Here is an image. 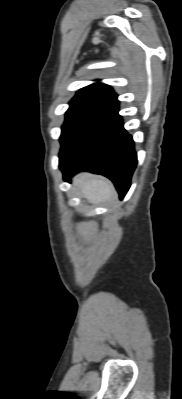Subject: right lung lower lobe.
Returning <instances> with one entry per match:
<instances>
[{
  "mask_svg": "<svg viewBox=\"0 0 182 399\" xmlns=\"http://www.w3.org/2000/svg\"><path fill=\"white\" fill-rule=\"evenodd\" d=\"M118 111L116 100L77 125L61 142L59 167L65 181L81 171L104 175L113 181L123 199L137 155Z\"/></svg>",
  "mask_w": 182,
  "mask_h": 399,
  "instance_id": "98d812e1",
  "label": "right lung lower lobe"
}]
</instances>
